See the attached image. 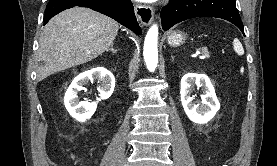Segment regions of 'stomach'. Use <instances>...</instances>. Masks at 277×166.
Masks as SVG:
<instances>
[{"instance_id":"0dacf381","label":"stomach","mask_w":277,"mask_h":166,"mask_svg":"<svg viewBox=\"0 0 277 166\" xmlns=\"http://www.w3.org/2000/svg\"><path fill=\"white\" fill-rule=\"evenodd\" d=\"M187 40V34L182 31H173L167 37V43L172 47L183 45Z\"/></svg>"}]
</instances>
